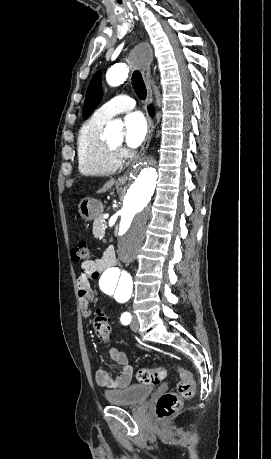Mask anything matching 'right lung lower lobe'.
<instances>
[{
    "label": "right lung lower lobe",
    "mask_w": 271,
    "mask_h": 459,
    "mask_svg": "<svg viewBox=\"0 0 271 459\" xmlns=\"http://www.w3.org/2000/svg\"><path fill=\"white\" fill-rule=\"evenodd\" d=\"M149 112H150V115H153L154 114V109L152 106L149 107Z\"/></svg>",
    "instance_id": "right-lung-lower-lobe-1"
}]
</instances>
